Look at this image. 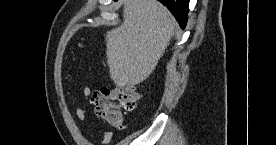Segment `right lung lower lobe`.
Listing matches in <instances>:
<instances>
[{
  "instance_id": "right-lung-lower-lobe-1",
  "label": "right lung lower lobe",
  "mask_w": 276,
  "mask_h": 145,
  "mask_svg": "<svg viewBox=\"0 0 276 145\" xmlns=\"http://www.w3.org/2000/svg\"><path fill=\"white\" fill-rule=\"evenodd\" d=\"M116 1V0H115ZM172 12L181 28L186 26L189 0H159Z\"/></svg>"
}]
</instances>
